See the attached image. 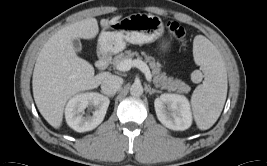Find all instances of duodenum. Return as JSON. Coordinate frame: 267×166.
<instances>
[{
	"mask_svg": "<svg viewBox=\"0 0 267 166\" xmlns=\"http://www.w3.org/2000/svg\"><path fill=\"white\" fill-rule=\"evenodd\" d=\"M111 55L107 52H101L97 60V68L99 71H105L111 63Z\"/></svg>",
	"mask_w": 267,
	"mask_h": 166,
	"instance_id": "duodenum-1",
	"label": "duodenum"
}]
</instances>
